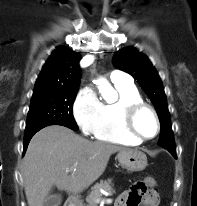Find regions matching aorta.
Wrapping results in <instances>:
<instances>
[{"label":"aorta","mask_w":197,"mask_h":206,"mask_svg":"<svg viewBox=\"0 0 197 206\" xmlns=\"http://www.w3.org/2000/svg\"><path fill=\"white\" fill-rule=\"evenodd\" d=\"M96 83L104 99H106L107 101L114 99L115 92L107 80L101 78Z\"/></svg>","instance_id":"762f6f07"}]
</instances>
